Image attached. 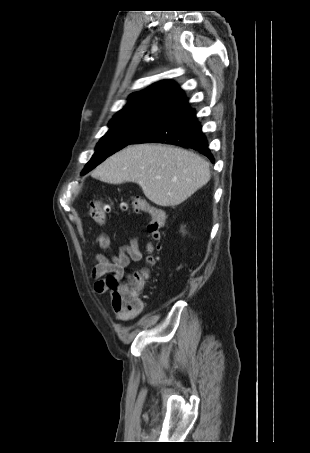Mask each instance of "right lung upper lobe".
I'll return each mask as SVG.
<instances>
[{
	"label": "right lung upper lobe",
	"mask_w": 310,
	"mask_h": 453,
	"mask_svg": "<svg viewBox=\"0 0 310 453\" xmlns=\"http://www.w3.org/2000/svg\"><path fill=\"white\" fill-rule=\"evenodd\" d=\"M185 98L183 90L175 82L163 80L145 90L131 94L128 103L115 116L158 118L171 106Z\"/></svg>",
	"instance_id": "right-lung-upper-lobe-1"
}]
</instances>
